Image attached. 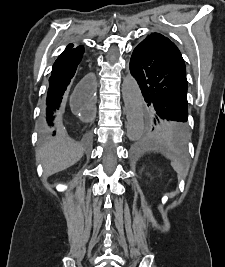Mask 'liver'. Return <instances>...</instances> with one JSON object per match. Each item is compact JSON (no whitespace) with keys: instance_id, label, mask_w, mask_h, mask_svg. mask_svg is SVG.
I'll list each match as a JSON object with an SVG mask.
<instances>
[{"instance_id":"obj_1","label":"liver","mask_w":225,"mask_h":267,"mask_svg":"<svg viewBox=\"0 0 225 267\" xmlns=\"http://www.w3.org/2000/svg\"><path fill=\"white\" fill-rule=\"evenodd\" d=\"M83 147L67 136H60L45 143L36 151V159L48 177L77 163L83 156Z\"/></svg>"}]
</instances>
